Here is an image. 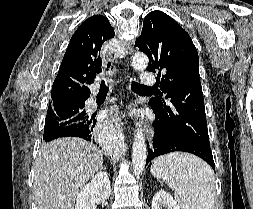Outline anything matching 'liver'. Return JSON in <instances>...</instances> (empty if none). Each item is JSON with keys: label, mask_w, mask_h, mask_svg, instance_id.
<instances>
[{"label": "liver", "mask_w": 253, "mask_h": 209, "mask_svg": "<svg viewBox=\"0 0 253 209\" xmlns=\"http://www.w3.org/2000/svg\"><path fill=\"white\" fill-rule=\"evenodd\" d=\"M102 164V152L83 139L59 138L44 144L35 163L36 209H74L79 190Z\"/></svg>", "instance_id": "6515ba94"}]
</instances>
